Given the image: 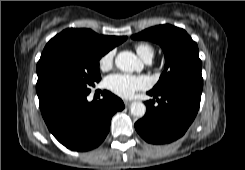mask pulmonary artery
Returning <instances> with one entry per match:
<instances>
[{"mask_svg":"<svg viewBox=\"0 0 245 170\" xmlns=\"http://www.w3.org/2000/svg\"><path fill=\"white\" fill-rule=\"evenodd\" d=\"M151 60H146L145 62L149 63Z\"/></svg>","mask_w":245,"mask_h":170,"instance_id":"obj_1","label":"pulmonary artery"}]
</instances>
